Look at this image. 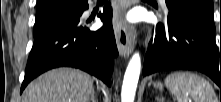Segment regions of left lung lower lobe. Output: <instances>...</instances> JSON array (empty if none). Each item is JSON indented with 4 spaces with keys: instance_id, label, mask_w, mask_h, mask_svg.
I'll list each match as a JSON object with an SVG mask.
<instances>
[{
    "instance_id": "0a47b994",
    "label": "left lung lower lobe",
    "mask_w": 221,
    "mask_h": 102,
    "mask_svg": "<svg viewBox=\"0 0 221 102\" xmlns=\"http://www.w3.org/2000/svg\"><path fill=\"white\" fill-rule=\"evenodd\" d=\"M176 69L203 72L221 89V47L219 51L214 25L188 10L169 8L147 48L143 75Z\"/></svg>"
}]
</instances>
